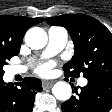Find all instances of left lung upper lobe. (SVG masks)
<instances>
[{"label":"left lung upper lobe","mask_w":112,"mask_h":112,"mask_svg":"<svg viewBox=\"0 0 112 112\" xmlns=\"http://www.w3.org/2000/svg\"><path fill=\"white\" fill-rule=\"evenodd\" d=\"M46 22L65 27L74 42L75 54L63 67L67 76L112 79V34L101 22L83 14L48 17Z\"/></svg>","instance_id":"5c2ea615"}]
</instances>
